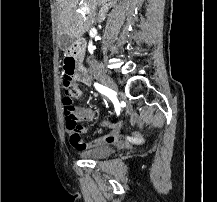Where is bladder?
Segmentation results:
<instances>
[{
  "instance_id": "obj_1",
  "label": "bladder",
  "mask_w": 217,
  "mask_h": 202,
  "mask_svg": "<svg viewBox=\"0 0 217 202\" xmlns=\"http://www.w3.org/2000/svg\"><path fill=\"white\" fill-rule=\"evenodd\" d=\"M112 149L113 148L109 145L98 146L94 149L81 152L80 156L88 159L105 158L110 156Z\"/></svg>"
}]
</instances>
